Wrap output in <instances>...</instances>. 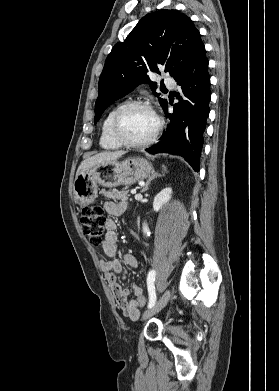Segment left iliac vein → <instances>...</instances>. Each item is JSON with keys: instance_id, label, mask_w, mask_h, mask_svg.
<instances>
[{"instance_id": "left-iliac-vein-1", "label": "left iliac vein", "mask_w": 279, "mask_h": 391, "mask_svg": "<svg viewBox=\"0 0 279 391\" xmlns=\"http://www.w3.org/2000/svg\"><path fill=\"white\" fill-rule=\"evenodd\" d=\"M170 297H171V291L167 289L163 293V295L159 298V300L156 302V304L152 308H150L149 310L143 313L142 319L146 320L154 316L155 314H157L159 311H161L170 300Z\"/></svg>"}]
</instances>
